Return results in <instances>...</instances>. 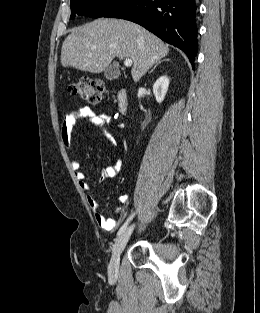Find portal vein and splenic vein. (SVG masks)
Instances as JSON below:
<instances>
[{
    "label": "portal vein and splenic vein",
    "instance_id": "18ae733b",
    "mask_svg": "<svg viewBox=\"0 0 260 313\" xmlns=\"http://www.w3.org/2000/svg\"><path fill=\"white\" fill-rule=\"evenodd\" d=\"M132 64H133V62H132L131 59H129V58H128V59H125L124 65H125L126 67H131Z\"/></svg>",
    "mask_w": 260,
    "mask_h": 313
}]
</instances>
